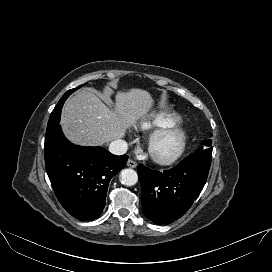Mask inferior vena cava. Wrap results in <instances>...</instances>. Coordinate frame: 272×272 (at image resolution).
Here are the masks:
<instances>
[{
  "label": "inferior vena cava",
  "mask_w": 272,
  "mask_h": 272,
  "mask_svg": "<svg viewBox=\"0 0 272 272\" xmlns=\"http://www.w3.org/2000/svg\"><path fill=\"white\" fill-rule=\"evenodd\" d=\"M128 150V144L126 141L117 139L109 144V151L115 155H123Z\"/></svg>",
  "instance_id": "inferior-vena-cava-1"
}]
</instances>
